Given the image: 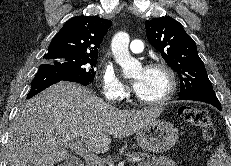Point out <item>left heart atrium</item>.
Listing matches in <instances>:
<instances>
[{
  "label": "left heart atrium",
  "mask_w": 231,
  "mask_h": 166,
  "mask_svg": "<svg viewBox=\"0 0 231 166\" xmlns=\"http://www.w3.org/2000/svg\"><path fill=\"white\" fill-rule=\"evenodd\" d=\"M143 81H144V73H142L140 76L136 77L133 81H132V86L133 89L135 90V92H139L142 85H143Z\"/></svg>",
  "instance_id": "39dd6f15"
}]
</instances>
